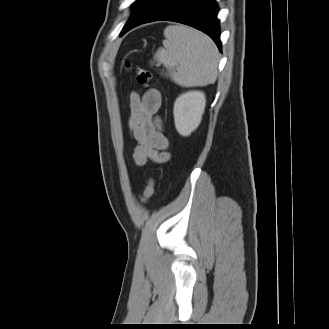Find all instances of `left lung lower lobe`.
<instances>
[{
	"mask_svg": "<svg viewBox=\"0 0 329 329\" xmlns=\"http://www.w3.org/2000/svg\"><path fill=\"white\" fill-rule=\"evenodd\" d=\"M217 13L218 8L214 0H145L133 11L120 36L138 25L167 20L201 30L209 35L221 50Z\"/></svg>",
	"mask_w": 329,
	"mask_h": 329,
	"instance_id": "left-lung-lower-lobe-1",
	"label": "left lung lower lobe"
}]
</instances>
